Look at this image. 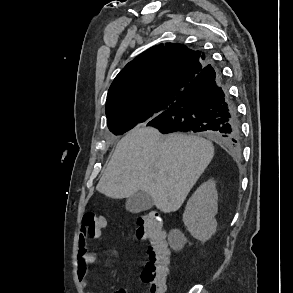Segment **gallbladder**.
Wrapping results in <instances>:
<instances>
[{
	"label": "gallbladder",
	"instance_id": "bac80fb5",
	"mask_svg": "<svg viewBox=\"0 0 293 293\" xmlns=\"http://www.w3.org/2000/svg\"><path fill=\"white\" fill-rule=\"evenodd\" d=\"M152 197L144 192L138 191L126 200V209L132 213H140L153 207Z\"/></svg>",
	"mask_w": 293,
	"mask_h": 293
}]
</instances>
